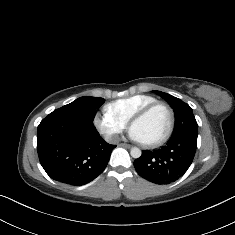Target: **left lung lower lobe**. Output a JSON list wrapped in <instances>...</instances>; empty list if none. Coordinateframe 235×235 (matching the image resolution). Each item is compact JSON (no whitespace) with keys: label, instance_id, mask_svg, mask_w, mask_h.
Returning a JSON list of instances; mask_svg holds the SVG:
<instances>
[{"label":"left lung lower lobe","instance_id":"0a47b994","mask_svg":"<svg viewBox=\"0 0 235 235\" xmlns=\"http://www.w3.org/2000/svg\"><path fill=\"white\" fill-rule=\"evenodd\" d=\"M197 148V137H171L166 146L143 151L134 161L137 173L155 184H168L180 178L190 167Z\"/></svg>","mask_w":235,"mask_h":235}]
</instances>
